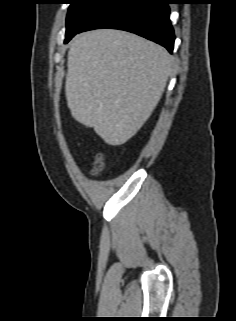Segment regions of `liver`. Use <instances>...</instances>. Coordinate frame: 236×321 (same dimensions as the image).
<instances>
[{"mask_svg":"<svg viewBox=\"0 0 236 321\" xmlns=\"http://www.w3.org/2000/svg\"><path fill=\"white\" fill-rule=\"evenodd\" d=\"M67 67L65 94L72 117L118 146L151 116L173 71V57L135 34L99 29L72 40Z\"/></svg>","mask_w":236,"mask_h":321,"instance_id":"liver-1","label":"liver"}]
</instances>
